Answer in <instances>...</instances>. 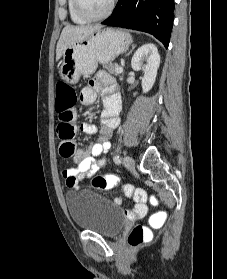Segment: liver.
Here are the masks:
<instances>
[{"mask_svg": "<svg viewBox=\"0 0 227 279\" xmlns=\"http://www.w3.org/2000/svg\"><path fill=\"white\" fill-rule=\"evenodd\" d=\"M101 25L88 26H72L67 25L63 28L56 47V61H58L69 45V43L86 39L98 30H101Z\"/></svg>", "mask_w": 227, "mask_h": 279, "instance_id": "obj_1", "label": "liver"}]
</instances>
